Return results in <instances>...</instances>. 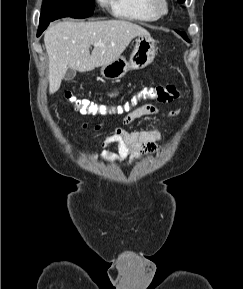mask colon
Segmentation results:
<instances>
[{
  "label": "colon",
  "mask_w": 243,
  "mask_h": 289,
  "mask_svg": "<svg viewBox=\"0 0 243 289\" xmlns=\"http://www.w3.org/2000/svg\"><path fill=\"white\" fill-rule=\"evenodd\" d=\"M178 96L179 91L177 87L173 84H167L164 86L144 88L139 92L137 98L155 100L158 103L165 104L174 101ZM64 97L68 102L72 103L78 111L85 115L105 117L118 112L116 108L109 107L105 104L89 99L76 98L71 91H66Z\"/></svg>",
  "instance_id": "colon-1"
}]
</instances>
